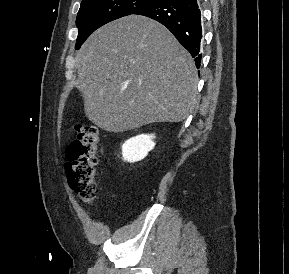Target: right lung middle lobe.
Masks as SVG:
<instances>
[{
    "label": "right lung middle lobe",
    "mask_w": 289,
    "mask_h": 274,
    "mask_svg": "<svg viewBox=\"0 0 289 274\" xmlns=\"http://www.w3.org/2000/svg\"><path fill=\"white\" fill-rule=\"evenodd\" d=\"M158 0H82L77 15L76 49L96 29L115 19L134 14Z\"/></svg>",
    "instance_id": "obj_1"
}]
</instances>
